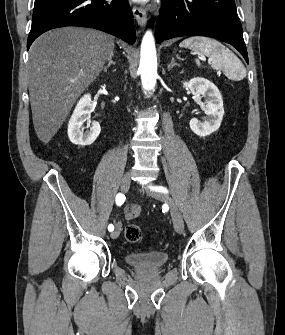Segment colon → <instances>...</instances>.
<instances>
[{"label": "colon", "instance_id": "colon-1", "mask_svg": "<svg viewBox=\"0 0 285 335\" xmlns=\"http://www.w3.org/2000/svg\"><path fill=\"white\" fill-rule=\"evenodd\" d=\"M125 239L129 243H138L142 238V230L136 224H130L125 228Z\"/></svg>", "mask_w": 285, "mask_h": 335}]
</instances>
